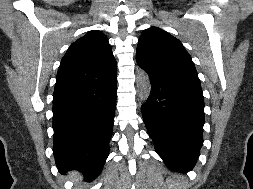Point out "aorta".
I'll return each mask as SVG.
<instances>
[{"instance_id": "obj_1", "label": "aorta", "mask_w": 253, "mask_h": 189, "mask_svg": "<svg viewBox=\"0 0 253 189\" xmlns=\"http://www.w3.org/2000/svg\"><path fill=\"white\" fill-rule=\"evenodd\" d=\"M136 84L140 100L142 102L147 101L151 91V82L149 75L142 69L137 71Z\"/></svg>"}]
</instances>
